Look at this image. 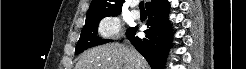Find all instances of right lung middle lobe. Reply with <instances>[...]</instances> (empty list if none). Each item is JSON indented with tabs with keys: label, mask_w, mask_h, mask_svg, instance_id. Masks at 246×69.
<instances>
[{
	"label": "right lung middle lobe",
	"mask_w": 246,
	"mask_h": 69,
	"mask_svg": "<svg viewBox=\"0 0 246 69\" xmlns=\"http://www.w3.org/2000/svg\"><path fill=\"white\" fill-rule=\"evenodd\" d=\"M116 16V15H115ZM102 18L86 21L82 29L80 39L77 43L75 55L81 53L83 50L88 49L89 47L101 45L112 40H102L97 37L98 24Z\"/></svg>",
	"instance_id": "1"
}]
</instances>
